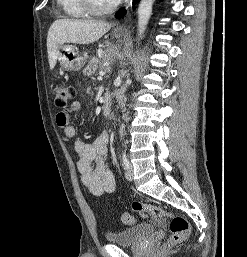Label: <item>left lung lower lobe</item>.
Masks as SVG:
<instances>
[{"mask_svg":"<svg viewBox=\"0 0 247 257\" xmlns=\"http://www.w3.org/2000/svg\"><path fill=\"white\" fill-rule=\"evenodd\" d=\"M135 1V0H134ZM126 13V10L125 9H121L119 10L117 13H116V17L117 18H121L124 16V14Z\"/></svg>","mask_w":247,"mask_h":257,"instance_id":"left-lung-lower-lobe-1","label":"left lung lower lobe"}]
</instances>
